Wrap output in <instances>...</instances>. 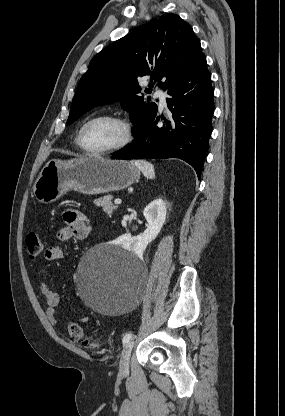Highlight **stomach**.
Listing matches in <instances>:
<instances>
[{"mask_svg": "<svg viewBox=\"0 0 285 416\" xmlns=\"http://www.w3.org/2000/svg\"><path fill=\"white\" fill-rule=\"evenodd\" d=\"M140 170L126 160L107 158H74L49 160L42 168L33 194L42 204H51L74 190L80 194H107L118 192L139 180Z\"/></svg>", "mask_w": 285, "mask_h": 416, "instance_id": "obj_1", "label": "stomach"}]
</instances>
